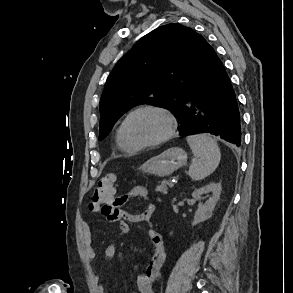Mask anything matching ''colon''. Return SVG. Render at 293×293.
<instances>
[{
    "mask_svg": "<svg viewBox=\"0 0 293 293\" xmlns=\"http://www.w3.org/2000/svg\"><path fill=\"white\" fill-rule=\"evenodd\" d=\"M117 188V177L113 173L103 177L93 189L89 206L94 210H103L115 203L114 194Z\"/></svg>",
    "mask_w": 293,
    "mask_h": 293,
    "instance_id": "obj_1",
    "label": "colon"
}]
</instances>
